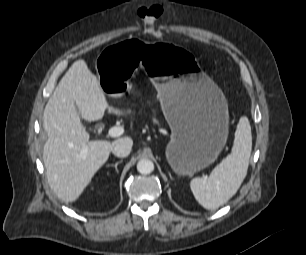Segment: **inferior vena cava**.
Returning a JSON list of instances; mask_svg holds the SVG:
<instances>
[{"label": "inferior vena cava", "mask_w": 306, "mask_h": 255, "mask_svg": "<svg viewBox=\"0 0 306 255\" xmlns=\"http://www.w3.org/2000/svg\"><path fill=\"white\" fill-rule=\"evenodd\" d=\"M132 140L130 138H121L115 141L112 152L117 157H127L132 149Z\"/></svg>", "instance_id": "1"}]
</instances>
